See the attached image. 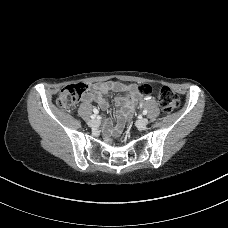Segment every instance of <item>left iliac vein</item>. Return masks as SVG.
<instances>
[{
    "label": "left iliac vein",
    "instance_id": "left-iliac-vein-1",
    "mask_svg": "<svg viewBox=\"0 0 228 228\" xmlns=\"http://www.w3.org/2000/svg\"><path fill=\"white\" fill-rule=\"evenodd\" d=\"M149 123V120L147 118H142L137 122V125L141 128L146 127Z\"/></svg>",
    "mask_w": 228,
    "mask_h": 228
}]
</instances>
